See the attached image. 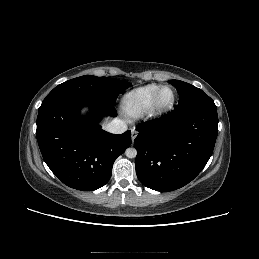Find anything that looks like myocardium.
<instances>
[{"label": "myocardium", "instance_id": "myocardium-1", "mask_svg": "<svg viewBox=\"0 0 259 259\" xmlns=\"http://www.w3.org/2000/svg\"><path fill=\"white\" fill-rule=\"evenodd\" d=\"M167 89L170 90L171 93H172L171 100L167 104L161 105L160 102H159L160 95L164 90H167ZM175 102H176L175 90L171 86H168V85L161 86L157 90V92L155 93V95L152 99V102H151L150 107L148 109V113L153 118L162 117L172 110Z\"/></svg>", "mask_w": 259, "mask_h": 259}]
</instances>
